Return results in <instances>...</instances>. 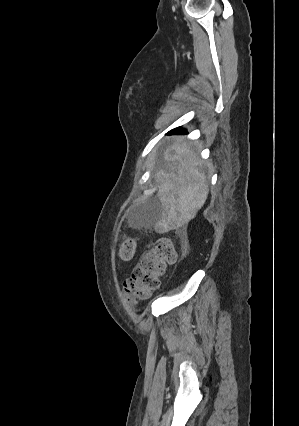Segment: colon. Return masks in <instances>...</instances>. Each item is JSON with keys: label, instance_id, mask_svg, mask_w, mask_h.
I'll return each instance as SVG.
<instances>
[{"label": "colon", "instance_id": "colon-1", "mask_svg": "<svg viewBox=\"0 0 299 426\" xmlns=\"http://www.w3.org/2000/svg\"><path fill=\"white\" fill-rule=\"evenodd\" d=\"M137 241L129 237L122 241L118 248V256L122 262L134 258ZM176 252L173 241L168 237L159 238L140 257L131 276L125 280L123 297L131 304L148 299L159 287L160 277L166 266L175 262Z\"/></svg>", "mask_w": 299, "mask_h": 426}]
</instances>
